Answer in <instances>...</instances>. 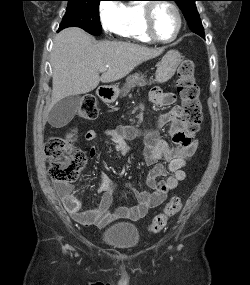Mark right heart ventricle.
Returning a JSON list of instances; mask_svg holds the SVG:
<instances>
[{
  "label": "right heart ventricle",
  "mask_w": 250,
  "mask_h": 285,
  "mask_svg": "<svg viewBox=\"0 0 250 285\" xmlns=\"http://www.w3.org/2000/svg\"><path fill=\"white\" fill-rule=\"evenodd\" d=\"M144 6L141 2L124 5L122 26L118 33L121 37L142 43L152 42L144 30Z\"/></svg>",
  "instance_id": "right-heart-ventricle-1"
}]
</instances>
